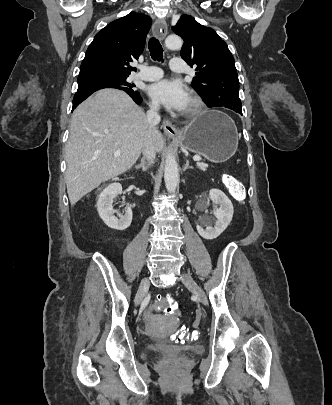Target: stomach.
<instances>
[{
    "instance_id": "obj_1",
    "label": "stomach",
    "mask_w": 332,
    "mask_h": 405,
    "mask_svg": "<svg viewBox=\"0 0 332 405\" xmlns=\"http://www.w3.org/2000/svg\"><path fill=\"white\" fill-rule=\"evenodd\" d=\"M177 140L185 149L214 163L229 160L238 147L234 122L216 110L199 114L180 131Z\"/></svg>"
}]
</instances>
